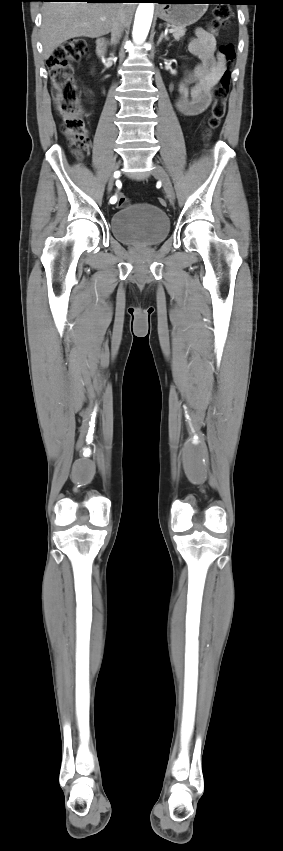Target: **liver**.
Masks as SVG:
<instances>
[{
	"label": "liver",
	"mask_w": 283,
	"mask_h": 851,
	"mask_svg": "<svg viewBox=\"0 0 283 851\" xmlns=\"http://www.w3.org/2000/svg\"><path fill=\"white\" fill-rule=\"evenodd\" d=\"M134 10L133 3L46 2L41 25L44 59H49L54 50L69 39L108 34L120 13L124 14L125 26H129Z\"/></svg>",
	"instance_id": "6515ba94"
}]
</instances>
